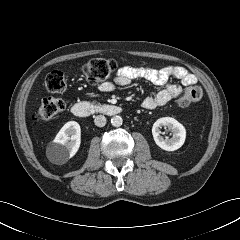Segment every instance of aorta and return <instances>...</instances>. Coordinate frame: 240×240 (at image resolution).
Returning a JSON list of instances; mask_svg holds the SVG:
<instances>
[{
    "label": "aorta",
    "instance_id": "762f6f07",
    "mask_svg": "<svg viewBox=\"0 0 240 240\" xmlns=\"http://www.w3.org/2000/svg\"><path fill=\"white\" fill-rule=\"evenodd\" d=\"M123 123V119L122 117L116 115V116H113L112 119H111V124L114 126V127H119L121 126Z\"/></svg>",
    "mask_w": 240,
    "mask_h": 240
}]
</instances>
